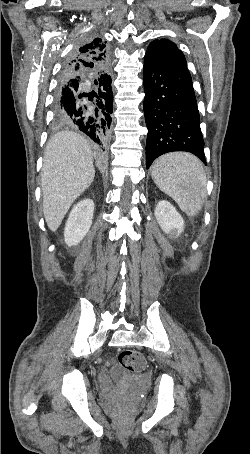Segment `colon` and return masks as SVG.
I'll list each match as a JSON object with an SVG mask.
<instances>
[{
	"mask_svg": "<svg viewBox=\"0 0 250 454\" xmlns=\"http://www.w3.org/2000/svg\"><path fill=\"white\" fill-rule=\"evenodd\" d=\"M121 368L129 373H139L144 370L146 361L144 356L135 350H123L118 355Z\"/></svg>",
	"mask_w": 250,
	"mask_h": 454,
	"instance_id": "obj_1",
	"label": "colon"
}]
</instances>
